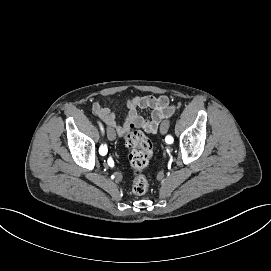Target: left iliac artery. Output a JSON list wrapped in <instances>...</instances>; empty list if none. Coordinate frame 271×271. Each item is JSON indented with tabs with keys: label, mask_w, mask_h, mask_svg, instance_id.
<instances>
[{
	"label": "left iliac artery",
	"mask_w": 271,
	"mask_h": 271,
	"mask_svg": "<svg viewBox=\"0 0 271 271\" xmlns=\"http://www.w3.org/2000/svg\"><path fill=\"white\" fill-rule=\"evenodd\" d=\"M165 141L167 144H173V136L171 134L165 135Z\"/></svg>",
	"instance_id": "left-iliac-artery-1"
}]
</instances>
